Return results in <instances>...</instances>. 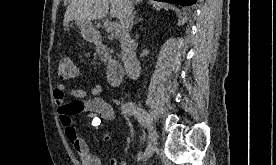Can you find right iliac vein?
Returning <instances> with one entry per match:
<instances>
[{
  "instance_id": "1",
  "label": "right iliac vein",
  "mask_w": 276,
  "mask_h": 165,
  "mask_svg": "<svg viewBox=\"0 0 276 165\" xmlns=\"http://www.w3.org/2000/svg\"><path fill=\"white\" fill-rule=\"evenodd\" d=\"M141 113H142V115L144 117V120H145V126L148 127V129H149L148 144H147L144 156H143L144 161H146L153 154V151H154V148H155L156 137H155V133L153 131V126H152V123L150 121L149 114L143 109H141Z\"/></svg>"
}]
</instances>
